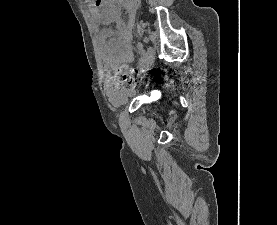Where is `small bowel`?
I'll return each mask as SVG.
<instances>
[{
    "label": "small bowel",
    "instance_id": "obj_1",
    "mask_svg": "<svg viewBox=\"0 0 277 225\" xmlns=\"http://www.w3.org/2000/svg\"><path fill=\"white\" fill-rule=\"evenodd\" d=\"M139 0H105L103 3L89 4L91 20L98 31V44L102 53L105 80L104 88L111 102L119 103L126 97L127 91L116 85L113 72L122 64L134 60L130 49L131 26L138 9ZM102 7V9H100ZM120 7L128 15L127 22L120 18ZM115 24V28H104L101 25Z\"/></svg>",
    "mask_w": 277,
    "mask_h": 225
}]
</instances>
